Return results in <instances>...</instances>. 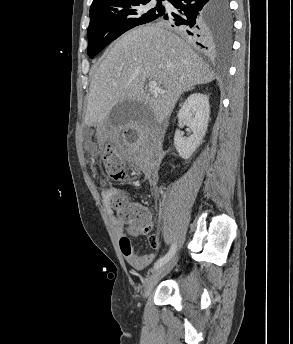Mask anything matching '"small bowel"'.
I'll use <instances>...</instances> for the list:
<instances>
[{"mask_svg":"<svg viewBox=\"0 0 293 344\" xmlns=\"http://www.w3.org/2000/svg\"><path fill=\"white\" fill-rule=\"evenodd\" d=\"M117 189L113 186L106 188L103 191V199L106 207L107 214L110 218L112 229L114 230L115 238L118 242L120 251L125 260L135 270H144L154 259V254L139 255L135 252L131 239L123 232L124 224L114 214L110 200L116 194ZM149 242L153 249H159L160 237L157 233L149 236Z\"/></svg>","mask_w":293,"mask_h":344,"instance_id":"1","label":"small bowel"}]
</instances>
